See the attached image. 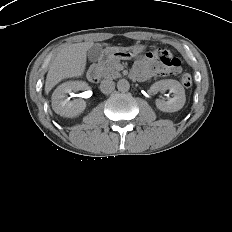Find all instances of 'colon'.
<instances>
[{"instance_id": "1", "label": "colon", "mask_w": 232, "mask_h": 232, "mask_svg": "<svg viewBox=\"0 0 232 232\" xmlns=\"http://www.w3.org/2000/svg\"><path fill=\"white\" fill-rule=\"evenodd\" d=\"M148 57L156 61L161 66L174 69L175 72L179 70L181 62L171 51L162 48H155L148 53ZM181 82L184 87L190 88L192 86V77L188 73H184L181 76Z\"/></svg>"}]
</instances>
